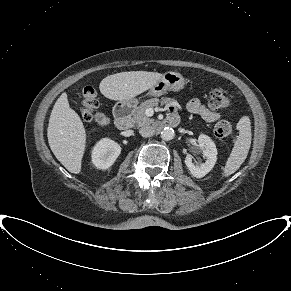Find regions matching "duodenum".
Listing matches in <instances>:
<instances>
[{
  "label": "duodenum",
  "instance_id": "1",
  "mask_svg": "<svg viewBox=\"0 0 291 291\" xmlns=\"http://www.w3.org/2000/svg\"><path fill=\"white\" fill-rule=\"evenodd\" d=\"M133 107L130 104H120L116 107L114 112V122L118 129L127 130L130 127V115ZM178 123L176 117H168L163 122L159 123V127L175 126Z\"/></svg>",
  "mask_w": 291,
  "mask_h": 291
}]
</instances>
